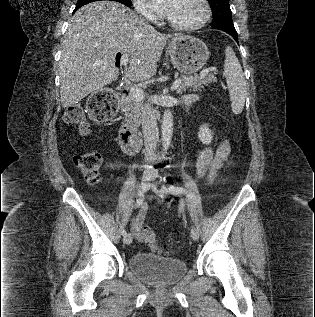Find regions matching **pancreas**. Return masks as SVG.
I'll list each match as a JSON object with an SVG mask.
<instances>
[{"mask_svg":"<svg viewBox=\"0 0 315 317\" xmlns=\"http://www.w3.org/2000/svg\"><path fill=\"white\" fill-rule=\"evenodd\" d=\"M180 80L181 83L177 90L178 94H181L186 89H189L190 91L201 90L202 88H204V85L217 82V78L215 77V75L209 72H206L203 76L184 75L180 78ZM128 101L131 103V105L130 108L127 109V111L125 112V116L129 118L128 121H137L142 109L143 99L138 100L134 98L132 94H130V98L128 99Z\"/></svg>","mask_w":315,"mask_h":317,"instance_id":"pancreas-1","label":"pancreas"}]
</instances>
